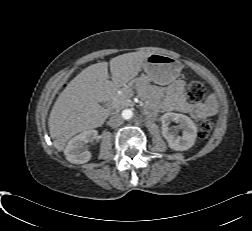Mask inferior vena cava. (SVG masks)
I'll return each mask as SVG.
<instances>
[{
    "label": "inferior vena cava",
    "mask_w": 252,
    "mask_h": 231,
    "mask_svg": "<svg viewBox=\"0 0 252 231\" xmlns=\"http://www.w3.org/2000/svg\"><path fill=\"white\" fill-rule=\"evenodd\" d=\"M108 125L115 128L122 124V117L119 114L112 115L108 120Z\"/></svg>",
    "instance_id": "obj_1"
}]
</instances>
